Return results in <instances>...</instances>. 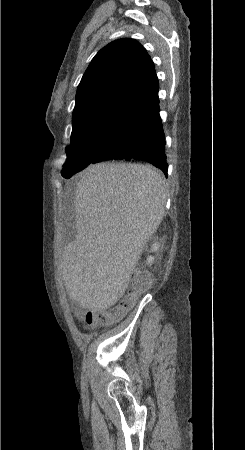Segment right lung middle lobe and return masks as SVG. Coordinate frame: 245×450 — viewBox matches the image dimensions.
Instances as JSON below:
<instances>
[{"instance_id":"right-lung-middle-lobe-1","label":"right lung middle lobe","mask_w":245,"mask_h":450,"mask_svg":"<svg viewBox=\"0 0 245 450\" xmlns=\"http://www.w3.org/2000/svg\"><path fill=\"white\" fill-rule=\"evenodd\" d=\"M140 112L113 105L84 108L73 116L70 150L62 170L66 179L84 169L101 153L118 146L129 135Z\"/></svg>"}]
</instances>
